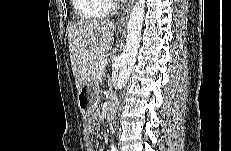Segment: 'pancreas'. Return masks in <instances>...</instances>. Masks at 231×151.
I'll use <instances>...</instances> for the list:
<instances>
[{"instance_id": "1", "label": "pancreas", "mask_w": 231, "mask_h": 151, "mask_svg": "<svg viewBox=\"0 0 231 151\" xmlns=\"http://www.w3.org/2000/svg\"><path fill=\"white\" fill-rule=\"evenodd\" d=\"M100 63L101 60H98L93 68L92 78L96 83H99L104 75V68H101Z\"/></svg>"}]
</instances>
